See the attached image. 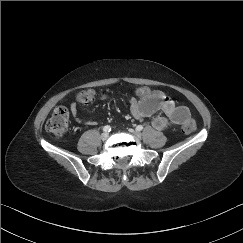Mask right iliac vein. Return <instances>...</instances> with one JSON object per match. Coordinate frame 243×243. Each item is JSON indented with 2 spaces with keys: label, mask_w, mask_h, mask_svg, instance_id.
I'll list each match as a JSON object with an SVG mask.
<instances>
[{
  "label": "right iliac vein",
  "mask_w": 243,
  "mask_h": 243,
  "mask_svg": "<svg viewBox=\"0 0 243 243\" xmlns=\"http://www.w3.org/2000/svg\"><path fill=\"white\" fill-rule=\"evenodd\" d=\"M109 137V134L107 132H104L101 134V139L106 140Z\"/></svg>",
  "instance_id": "63e3f726"
}]
</instances>
